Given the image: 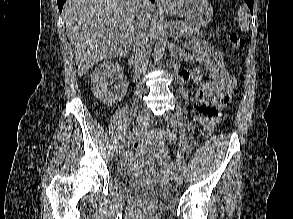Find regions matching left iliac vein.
<instances>
[{
  "mask_svg": "<svg viewBox=\"0 0 293 219\" xmlns=\"http://www.w3.org/2000/svg\"><path fill=\"white\" fill-rule=\"evenodd\" d=\"M164 118L167 121V123L175 130L177 131V120L175 115L171 111H167L164 113ZM181 172L183 176H186L187 173V167L185 163H181Z\"/></svg>",
  "mask_w": 293,
  "mask_h": 219,
  "instance_id": "left-iliac-vein-1",
  "label": "left iliac vein"
}]
</instances>
